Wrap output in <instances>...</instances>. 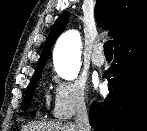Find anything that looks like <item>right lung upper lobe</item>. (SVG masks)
Instances as JSON below:
<instances>
[{"instance_id":"right-lung-upper-lobe-1","label":"right lung upper lobe","mask_w":147,"mask_h":131,"mask_svg":"<svg viewBox=\"0 0 147 131\" xmlns=\"http://www.w3.org/2000/svg\"><path fill=\"white\" fill-rule=\"evenodd\" d=\"M95 15L98 25L109 30V35L114 39V47L147 30V0H97ZM68 18L69 14L65 11L55 21L34 74L43 70L50 49L64 30Z\"/></svg>"}]
</instances>
